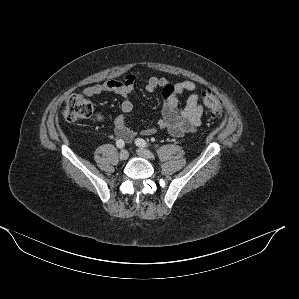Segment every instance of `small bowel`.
<instances>
[{"label": "small bowel", "instance_id": "small-bowel-1", "mask_svg": "<svg viewBox=\"0 0 299 299\" xmlns=\"http://www.w3.org/2000/svg\"><path fill=\"white\" fill-rule=\"evenodd\" d=\"M136 83V76L128 74L124 80H109L84 89L83 94L93 97L103 93H114L121 99L122 114L114 120V132L117 138L124 142H131L136 131L127 121V115L133 110L131 93ZM162 89V118L156 126H149L141 130L144 135H152L157 130H165L174 137H181L193 133L202 124L204 106L200 102V96L196 92L197 84L191 80L173 82L163 77H150L145 85L148 92ZM184 92H190L186 105L179 107L178 96Z\"/></svg>", "mask_w": 299, "mask_h": 299}]
</instances>
